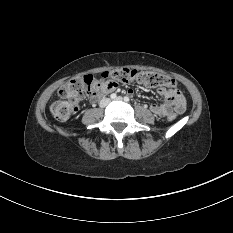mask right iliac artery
I'll use <instances>...</instances> for the list:
<instances>
[{"label":"right iliac artery","mask_w":233,"mask_h":233,"mask_svg":"<svg viewBox=\"0 0 233 233\" xmlns=\"http://www.w3.org/2000/svg\"><path fill=\"white\" fill-rule=\"evenodd\" d=\"M116 97H117V95L115 93H113V94L110 95L111 99H115Z\"/></svg>","instance_id":"82829eb1"}]
</instances>
